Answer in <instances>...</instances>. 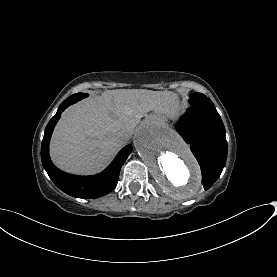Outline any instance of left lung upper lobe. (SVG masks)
Wrapping results in <instances>:
<instances>
[{"label":"left lung upper lobe","instance_id":"5c2ea615","mask_svg":"<svg viewBox=\"0 0 277 277\" xmlns=\"http://www.w3.org/2000/svg\"><path fill=\"white\" fill-rule=\"evenodd\" d=\"M191 108L208 109L216 111L212 101L201 93H193L189 99Z\"/></svg>","mask_w":277,"mask_h":277}]
</instances>
